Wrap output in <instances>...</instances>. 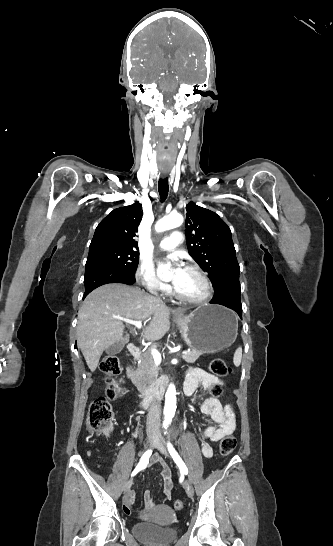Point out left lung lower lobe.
Returning <instances> with one entry per match:
<instances>
[{
    "mask_svg": "<svg viewBox=\"0 0 333 546\" xmlns=\"http://www.w3.org/2000/svg\"><path fill=\"white\" fill-rule=\"evenodd\" d=\"M212 304H220L226 306L239 315L242 318V305L240 300V283L239 280H233L224 283L220 289L215 291L213 299L210 301Z\"/></svg>",
    "mask_w": 333,
    "mask_h": 546,
    "instance_id": "1",
    "label": "left lung lower lobe"
}]
</instances>
